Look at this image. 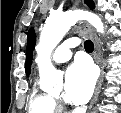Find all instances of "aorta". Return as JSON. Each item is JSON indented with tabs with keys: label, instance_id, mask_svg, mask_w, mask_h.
Masks as SVG:
<instances>
[{
	"label": "aorta",
	"instance_id": "1",
	"mask_svg": "<svg viewBox=\"0 0 121 113\" xmlns=\"http://www.w3.org/2000/svg\"><path fill=\"white\" fill-rule=\"evenodd\" d=\"M81 19L87 20L98 32H104V26L99 16L87 11L52 13L46 19L40 35L36 59L40 84L44 90L49 91L56 84L61 83L62 76L52 65L50 56L66 32Z\"/></svg>",
	"mask_w": 121,
	"mask_h": 113
}]
</instances>
